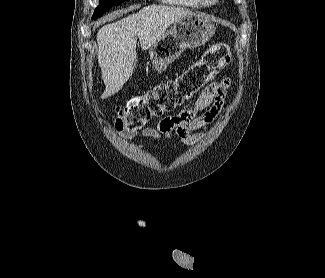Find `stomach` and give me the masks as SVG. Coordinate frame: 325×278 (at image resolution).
Returning a JSON list of instances; mask_svg holds the SVG:
<instances>
[{
	"label": "stomach",
	"instance_id": "0dacf381",
	"mask_svg": "<svg viewBox=\"0 0 325 278\" xmlns=\"http://www.w3.org/2000/svg\"><path fill=\"white\" fill-rule=\"evenodd\" d=\"M214 33L215 25L202 15L193 14L180 18L149 48L152 65L158 71L163 70L184 50L204 45Z\"/></svg>",
	"mask_w": 325,
	"mask_h": 278
}]
</instances>
